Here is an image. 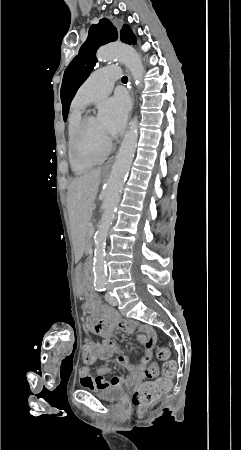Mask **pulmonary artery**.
Listing matches in <instances>:
<instances>
[{
  "label": "pulmonary artery",
  "mask_w": 241,
  "mask_h": 450,
  "mask_svg": "<svg viewBox=\"0 0 241 450\" xmlns=\"http://www.w3.org/2000/svg\"><path fill=\"white\" fill-rule=\"evenodd\" d=\"M119 75L117 64H102L101 69H94L91 77L77 92L75 103L83 106L106 97L110 94L113 86L108 78H119Z\"/></svg>",
  "instance_id": "obj_1"
}]
</instances>
